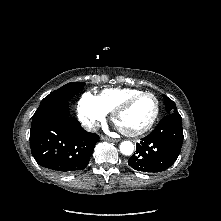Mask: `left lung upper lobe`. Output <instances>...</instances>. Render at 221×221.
I'll list each match as a JSON object with an SVG mask.
<instances>
[{
    "mask_svg": "<svg viewBox=\"0 0 221 221\" xmlns=\"http://www.w3.org/2000/svg\"><path fill=\"white\" fill-rule=\"evenodd\" d=\"M165 105H166V111L169 113H178L175 103L164 95Z\"/></svg>",
    "mask_w": 221,
    "mask_h": 221,
    "instance_id": "left-lung-upper-lobe-1",
    "label": "left lung upper lobe"
}]
</instances>
